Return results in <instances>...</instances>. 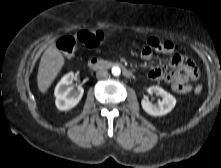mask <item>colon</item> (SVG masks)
<instances>
[{
	"label": "colon",
	"mask_w": 221,
	"mask_h": 168,
	"mask_svg": "<svg viewBox=\"0 0 221 168\" xmlns=\"http://www.w3.org/2000/svg\"><path fill=\"white\" fill-rule=\"evenodd\" d=\"M104 37L105 34L103 31L84 30L79 32L76 37L73 36L61 37L57 42V47L66 58H70L74 54L77 42H80L87 47H96L103 41ZM146 45L150 46L152 49L156 51H163L168 48L167 44L156 38L148 39ZM194 92L196 94H200L202 92V86L201 85L195 86Z\"/></svg>",
	"instance_id": "1"
}]
</instances>
